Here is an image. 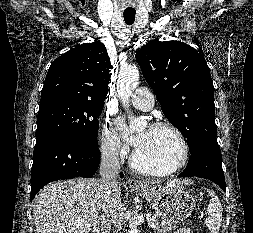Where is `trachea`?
I'll return each instance as SVG.
<instances>
[{
  "instance_id": "1",
  "label": "trachea",
  "mask_w": 253,
  "mask_h": 233,
  "mask_svg": "<svg viewBox=\"0 0 253 233\" xmlns=\"http://www.w3.org/2000/svg\"><path fill=\"white\" fill-rule=\"evenodd\" d=\"M125 23L127 25H132L135 21V12H124L123 14Z\"/></svg>"
}]
</instances>
